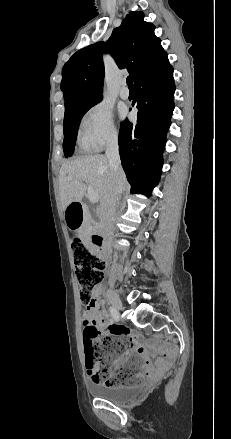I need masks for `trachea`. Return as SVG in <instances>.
I'll return each mask as SVG.
<instances>
[{
    "mask_svg": "<svg viewBox=\"0 0 231 439\" xmlns=\"http://www.w3.org/2000/svg\"><path fill=\"white\" fill-rule=\"evenodd\" d=\"M127 85H128V87H133V82H132L131 76L127 77Z\"/></svg>",
    "mask_w": 231,
    "mask_h": 439,
    "instance_id": "3493384b",
    "label": "trachea"
}]
</instances>
